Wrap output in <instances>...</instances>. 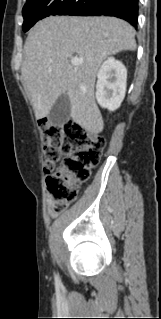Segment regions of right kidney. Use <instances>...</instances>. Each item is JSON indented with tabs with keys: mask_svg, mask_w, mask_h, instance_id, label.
<instances>
[{
	"mask_svg": "<svg viewBox=\"0 0 161 319\" xmlns=\"http://www.w3.org/2000/svg\"><path fill=\"white\" fill-rule=\"evenodd\" d=\"M96 99L102 108L118 109L125 97L127 70L115 58L110 57L97 73Z\"/></svg>",
	"mask_w": 161,
	"mask_h": 319,
	"instance_id": "ca27d5eb",
	"label": "right kidney"
}]
</instances>
